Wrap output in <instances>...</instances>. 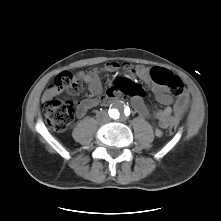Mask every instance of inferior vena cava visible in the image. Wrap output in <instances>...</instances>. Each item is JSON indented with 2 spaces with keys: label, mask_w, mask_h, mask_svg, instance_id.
<instances>
[{
  "label": "inferior vena cava",
  "mask_w": 221,
  "mask_h": 221,
  "mask_svg": "<svg viewBox=\"0 0 221 221\" xmlns=\"http://www.w3.org/2000/svg\"><path fill=\"white\" fill-rule=\"evenodd\" d=\"M97 119L100 120V121H103V122H108L110 120L108 115L106 113H104V112L99 113L97 115Z\"/></svg>",
  "instance_id": "1"
}]
</instances>
